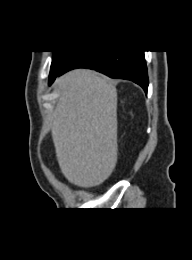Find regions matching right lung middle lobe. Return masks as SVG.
I'll return each instance as SVG.
<instances>
[{
	"mask_svg": "<svg viewBox=\"0 0 192 260\" xmlns=\"http://www.w3.org/2000/svg\"><path fill=\"white\" fill-rule=\"evenodd\" d=\"M76 54L72 51H53L49 79L57 75Z\"/></svg>",
	"mask_w": 192,
	"mask_h": 260,
	"instance_id": "1",
	"label": "right lung middle lobe"
}]
</instances>
